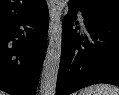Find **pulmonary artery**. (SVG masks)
<instances>
[{
	"mask_svg": "<svg viewBox=\"0 0 119 95\" xmlns=\"http://www.w3.org/2000/svg\"><path fill=\"white\" fill-rule=\"evenodd\" d=\"M79 20L81 21L82 25H84L83 24V17L81 15H79Z\"/></svg>",
	"mask_w": 119,
	"mask_h": 95,
	"instance_id": "1",
	"label": "pulmonary artery"
}]
</instances>
